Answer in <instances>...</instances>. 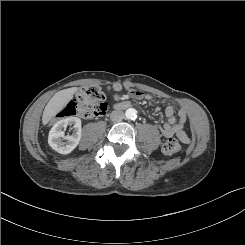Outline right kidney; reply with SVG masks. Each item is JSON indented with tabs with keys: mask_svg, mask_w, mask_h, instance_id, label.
Masks as SVG:
<instances>
[{
	"mask_svg": "<svg viewBox=\"0 0 245 245\" xmlns=\"http://www.w3.org/2000/svg\"><path fill=\"white\" fill-rule=\"evenodd\" d=\"M68 125H73L71 135L65 136L64 130ZM81 119L78 117H68L58 121L51 128L48 136L50 147L60 154L71 153L79 144L81 139ZM63 139L67 140L64 142Z\"/></svg>",
	"mask_w": 245,
	"mask_h": 245,
	"instance_id": "obj_1",
	"label": "right kidney"
}]
</instances>
